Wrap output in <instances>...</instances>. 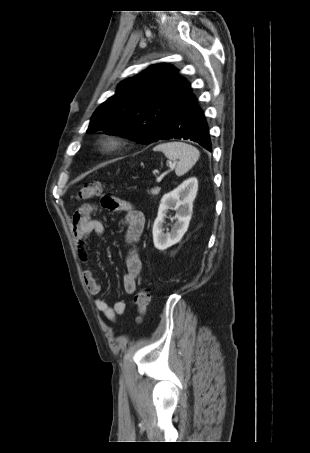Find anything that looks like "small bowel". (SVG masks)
Wrapping results in <instances>:
<instances>
[{"label": "small bowel", "instance_id": "obj_1", "mask_svg": "<svg viewBox=\"0 0 310 453\" xmlns=\"http://www.w3.org/2000/svg\"><path fill=\"white\" fill-rule=\"evenodd\" d=\"M114 205L111 209L124 213L125 242L126 251V273L123 278L124 290L127 294H133L137 287V279L141 273L142 263L139 258L137 243L145 227V218L143 213L136 209L131 203L114 199ZM95 207L92 204H83L79 207L72 218V232L79 249L80 258L83 262L89 261V254L86 249L87 238L91 233L102 235L104 225L92 219V213ZM84 283L92 295H98L101 292V284L98 277L90 269L83 270ZM96 309L102 313L108 320L114 321L117 316L124 314L126 304L124 301H117L110 306L104 299L95 300Z\"/></svg>", "mask_w": 310, "mask_h": 453}]
</instances>
